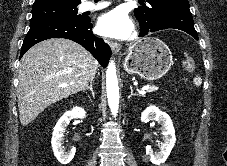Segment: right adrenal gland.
Wrapping results in <instances>:
<instances>
[{
	"instance_id": "1",
	"label": "right adrenal gland",
	"mask_w": 227,
	"mask_h": 166,
	"mask_svg": "<svg viewBox=\"0 0 227 166\" xmlns=\"http://www.w3.org/2000/svg\"><path fill=\"white\" fill-rule=\"evenodd\" d=\"M93 84H94V79H91L90 80V85L84 91L90 90L93 98L95 99V93H94V90H93Z\"/></svg>"
}]
</instances>
